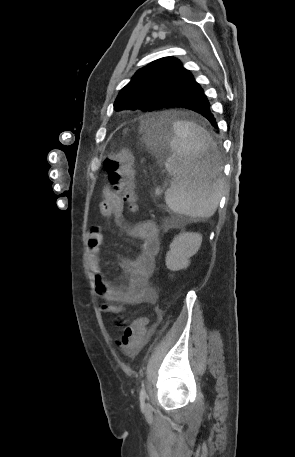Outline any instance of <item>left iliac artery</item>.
<instances>
[{
  "label": "left iliac artery",
  "mask_w": 295,
  "mask_h": 457,
  "mask_svg": "<svg viewBox=\"0 0 295 457\" xmlns=\"http://www.w3.org/2000/svg\"><path fill=\"white\" fill-rule=\"evenodd\" d=\"M146 397H147L146 390H145V388L143 387V388L141 389V391H140V400H141V401H144V400L146 399Z\"/></svg>",
  "instance_id": "obj_1"
}]
</instances>
